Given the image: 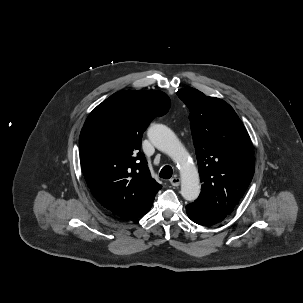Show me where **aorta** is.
Returning a JSON list of instances; mask_svg holds the SVG:
<instances>
[{
    "label": "aorta",
    "mask_w": 303,
    "mask_h": 303,
    "mask_svg": "<svg viewBox=\"0 0 303 303\" xmlns=\"http://www.w3.org/2000/svg\"><path fill=\"white\" fill-rule=\"evenodd\" d=\"M147 135L158 150L168 154L178 165L181 174L182 197L187 201L197 199L200 194L198 170L175 133L163 124H154L149 127Z\"/></svg>",
    "instance_id": "obj_1"
}]
</instances>
